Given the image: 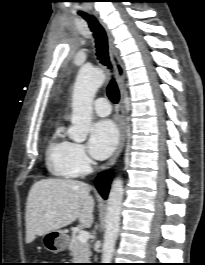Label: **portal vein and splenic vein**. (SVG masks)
Listing matches in <instances>:
<instances>
[{
	"mask_svg": "<svg viewBox=\"0 0 205 265\" xmlns=\"http://www.w3.org/2000/svg\"><path fill=\"white\" fill-rule=\"evenodd\" d=\"M89 238V233L87 231H79L77 239L81 242V243H86L88 241Z\"/></svg>",
	"mask_w": 205,
	"mask_h": 265,
	"instance_id": "obj_1",
	"label": "portal vein and splenic vein"
}]
</instances>
